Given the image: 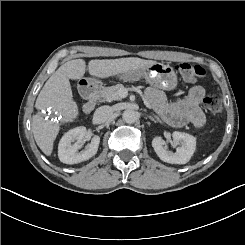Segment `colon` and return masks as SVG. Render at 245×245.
Masks as SVG:
<instances>
[{
  "label": "colon",
  "instance_id": "1",
  "mask_svg": "<svg viewBox=\"0 0 245 245\" xmlns=\"http://www.w3.org/2000/svg\"><path fill=\"white\" fill-rule=\"evenodd\" d=\"M175 69L182 75V77L190 82L197 81L205 74V70L199 65H191L189 63H179ZM203 103L206 109L212 114H218L222 110L221 99L217 95H210L204 98Z\"/></svg>",
  "mask_w": 245,
  "mask_h": 245
}]
</instances>
